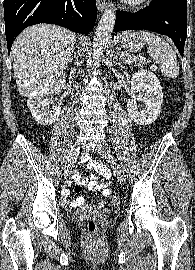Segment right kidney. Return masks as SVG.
Masks as SVG:
<instances>
[{
    "label": "right kidney",
    "mask_w": 195,
    "mask_h": 270,
    "mask_svg": "<svg viewBox=\"0 0 195 270\" xmlns=\"http://www.w3.org/2000/svg\"><path fill=\"white\" fill-rule=\"evenodd\" d=\"M64 85V80L60 78L52 79L44 82L29 96L27 106L33 118L39 124L50 125L58 119L61 108L54 105L50 107L52 100L48 99V96L59 93Z\"/></svg>",
    "instance_id": "right-kidney-1"
}]
</instances>
